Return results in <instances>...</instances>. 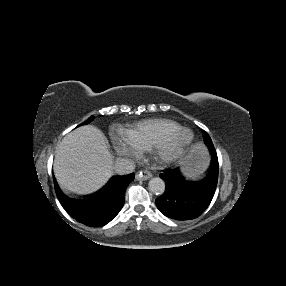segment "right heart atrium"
<instances>
[{
    "label": "right heart atrium",
    "mask_w": 286,
    "mask_h": 286,
    "mask_svg": "<svg viewBox=\"0 0 286 286\" xmlns=\"http://www.w3.org/2000/svg\"><path fill=\"white\" fill-rule=\"evenodd\" d=\"M112 144L117 154L136 158L142 151L127 134H119L112 138Z\"/></svg>",
    "instance_id": "d8ad5b80"
}]
</instances>
